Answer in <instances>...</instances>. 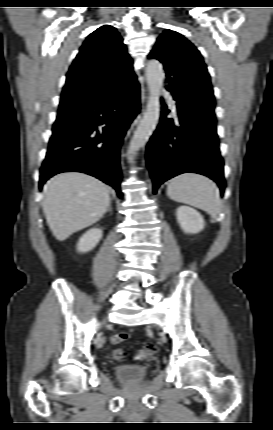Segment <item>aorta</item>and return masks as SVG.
Wrapping results in <instances>:
<instances>
[{
	"instance_id": "obj_1",
	"label": "aorta",
	"mask_w": 273,
	"mask_h": 430,
	"mask_svg": "<svg viewBox=\"0 0 273 430\" xmlns=\"http://www.w3.org/2000/svg\"><path fill=\"white\" fill-rule=\"evenodd\" d=\"M146 78L149 88V101L146 112L138 125L128 147V160L134 159V154L142 148L156 129L160 117V90L163 86L165 73L163 66L156 60L149 61L146 69Z\"/></svg>"
}]
</instances>
